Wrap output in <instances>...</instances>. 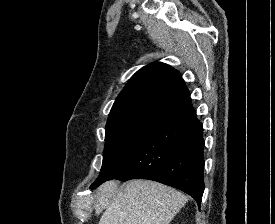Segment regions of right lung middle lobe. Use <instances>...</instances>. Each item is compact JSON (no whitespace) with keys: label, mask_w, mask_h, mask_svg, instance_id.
<instances>
[{"label":"right lung middle lobe","mask_w":275,"mask_h":224,"mask_svg":"<svg viewBox=\"0 0 275 224\" xmlns=\"http://www.w3.org/2000/svg\"><path fill=\"white\" fill-rule=\"evenodd\" d=\"M165 112L159 109H142L107 122L103 164L92 186L113 175Z\"/></svg>","instance_id":"obj_1"}]
</instances>
